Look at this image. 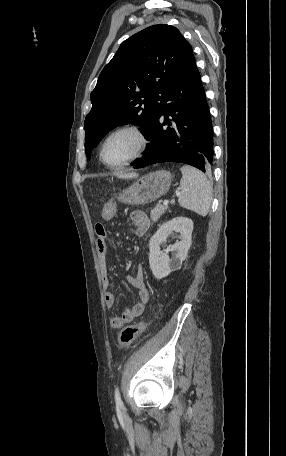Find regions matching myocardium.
Returning <instances> with one entry per match:
<instances>
[{
    "instance_id": "1",
    "label": "myocardium",
    "mask_w": 286,
    "mask_h": 456,
    "mask_svg": "<svg viewBox=\"0 0 286 456\" xmlns=\"http://www.w3.org/2000/svg\"><path fill=\"white\" fill-rule=\"evenodd\" d=\"M126 131L132 132L138 137V139L140 141V145H139L138 151L132 157H130L129 159H127L126 161H124V162H122L120 164H110V163H108L105 160V158H104V151H105V147H106L107 142L114 135H116L118 133H121V132H126ZM149 142L150 141H149V137H148L147 133L139 125L127 124V125L120 126V127L116 128V129H114L112 132H110L107 135V137L104 139V141L102 143V146H101V150H100V159H101V161L103 162L104 165H106L107 167L112 168V169H119V168L125 167V166L133 163L137 159L141 158L144 155V153L146 152V150H147V148L149 146Z\"/></svg>"
}]
</instances>
